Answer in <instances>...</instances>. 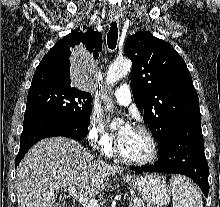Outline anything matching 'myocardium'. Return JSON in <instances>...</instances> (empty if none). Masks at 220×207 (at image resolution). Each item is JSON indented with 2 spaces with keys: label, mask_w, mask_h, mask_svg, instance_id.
<instances>
[{
  "label": "myocardium",
  "mask_w": 220,
  "mask_h": 207,
  "mask_svg": "<svg viewBox=\"0 0 220 207\" xmlns=\"http://www.w3.org/2000/svg\"><path fill=\"white\" fill-rule=\"evenodd\" d=\"M135 129L143 132L147 136V138L149 139V141L151 143L150 155L148 157H146L145 159H141V160L130 159L122 153L118 141L116 142L114 153L120 161H122L126 164L135 165V166H144V165L152 163L157 158L158 141H157L155 135L153 134V132L148 127H146L144 125H137V126H135Z\"/></svg>",
  "instance_id": "obj_1"
}]
</instances>
